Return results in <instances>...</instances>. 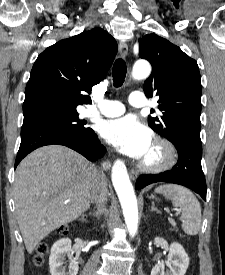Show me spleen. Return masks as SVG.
<instances>
[{"instance_id":"obj_1","label":"spleen","mask_w":225,"mask_h":275,"mask_svg":"<svg viewBox=\"0 0 225 275\" xmlns=\"http://www.w3.org/2000/svg\"><path fill=\"white\" fill-rule=\"evenodd\" d=\"M172 201L181 211L182 229L188 235L198 234L201 228V206L194 194L187 188L176 184H165L155 189Z\"/></svg>"}]
</instances>
